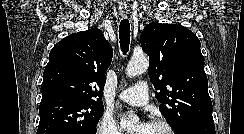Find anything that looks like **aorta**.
I'll use <instances>...</instances> for the list:
<instances>
[{"mask_svg": "<svg viewBox=\"0 0 244 134\" xmlns=\"http://www.w3.org/2000/svg\"><path fill=\"white\" fill-rule=\"evenodd\" d=\"M149 66V60L145 56L132 57L127 65V75L129 77H135L143 74ZM137 121V117L131 119H122L121 126L123 128H132Z\"/></svg>", "mask_w": 244, "mask_h": 134, "instance_id": "1", "label": "aorta"}]
</instances>
